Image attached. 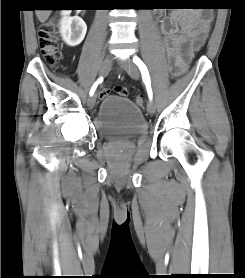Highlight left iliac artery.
Masks as SVG:
<instances>
[{
    "label": "left iliac artery",
    "instance_id": "1",
    "mask_svg": "<svg viewBox=\"0 0 245 278\" xmlns=\"http://www.w3.org/2000/svg\"><path fill=\"white\" fill-rule=\"evenodd\" d=\"M133 62L139 67L140 72L142 74L143 82L146 85L148 97L150 100H152L153 92H152V88H151V81H150V75H149L148 69H147L146 65L144 64V62L137 56H134Z\"/></svg>",
    "mask_w": 245,
    "mask_h": 278
}]
</instances>
